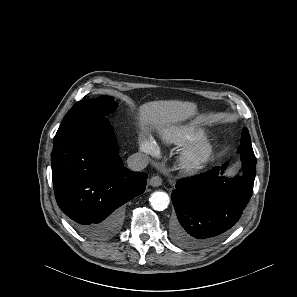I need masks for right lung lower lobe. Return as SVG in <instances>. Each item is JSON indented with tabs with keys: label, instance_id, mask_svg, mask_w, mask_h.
Wrapping results in <instances>:
<instances>
[{
	"label": "right lung lower lobe",
	"instance_id": "1",
	"mask_svg": "<svg viewBox=\"0 0 297 297\" xmlns=\"http://www.w3.org/2000/svg\"><path fill=\"white\" fill-rule=\"evenodd\" d=\"M51 166L58 206L90 239L116 235L123 222V204L145 191L147 174L124 166L109 123L55 135Z\"/></svg>",
	"mask_w": 297,
	"mask_h": 297
}]
</instances>
